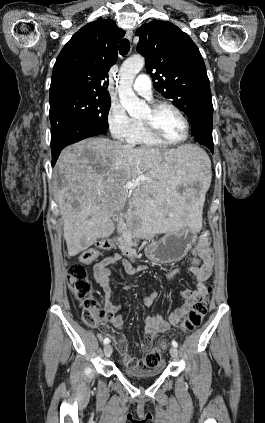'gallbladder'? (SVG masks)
Masks as SVG:
<instances>
[{
    "label": "gallbladder",
    "instance_id": "obj_1",
    "mask_svg": "<svg viewBox=\"0 0 265 423\" xmlns=\"http://www.w3.org/2000/svg\"><path fill=\"white\" fill-rule=\"evenodd\" d=\"M113 220H114V222H117V220H118V215H116V214H115V215L113 216Z\"/></svg>",
    "mask_w": 265,
    "mask_h": 423
}]
</instances>
